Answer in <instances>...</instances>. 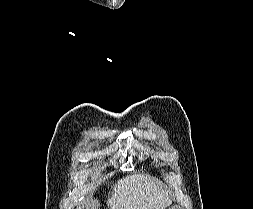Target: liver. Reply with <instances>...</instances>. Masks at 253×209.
I'll list each match as a JSON object with an SVG mask.
<instances>
[{
    "mask_svg": "<svg viewBox=\"0 0 253 209\" xmlns=\"http://www.w3.org/2000/svg\"><path fill=\"white\" fill-rule=\"evenodd\" d=\"M113 191L107 202L111 209H164L172 204L162 182L140 174L119 180Z\"/></svg>",
    "mask_w": 253,
    "mask_h": 209,
    "instance_id": "liver-1",
    "label": "liver"
}]
</instances>
